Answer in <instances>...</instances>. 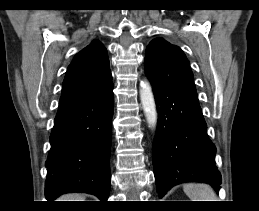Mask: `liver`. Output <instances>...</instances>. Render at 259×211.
I'll return each instance as SVG.
<instances>
[{
    "mask_svg": "<svg viewBox=\"0 0 259 211\" xmlns=\"http://www.w3.org/2000/svg\"><path fill=\"white\" fill-rule=\"evenodd\" d=\"M60 199H64L61 201H84L83 199H85V197L80 194H68L62 196Z\"/></svg>",
    "mask_w": 259,
    "mask_h": 211,
    "instance_id": "1",
    "label": "liver"
}]
</instances>
